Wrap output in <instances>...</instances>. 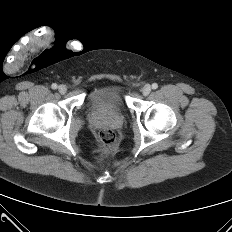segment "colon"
Masks as SVG:
<instances>
[{
	"label": "colon",
	"mask_w": 232,
	"mask_h": 232,
	"mask_svg": "<svg viewBox=\"0 0 232 232\" xmlns=\"http://www.w3.org/2000/svg\"><path fill=\"white\" fill-rule=\"evenodd\" d=\"M99 141L106 154H110L116 147V135L113 130L109 128H102L98 134Z\"/></svg>",
	"instance_id": "5ec220e1"
}]
</instances>
